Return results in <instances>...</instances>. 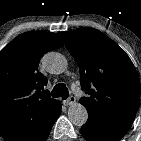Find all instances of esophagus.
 <instances>
[{
  "mask_svg": "<svg viewBox=\"0 0 141 141\" xmlns=\"http://www.w3.org/2000/svg\"><path fill=\"white\" fill-rule=\"evenodd\" d=\"M75 103H76V98L73 96L69 97L68 100L66 101L67 105H73Z\"/></svg>",
  "mask_w": 141,
  "mask_h": 141,
  "instance_id": "1",
  "label": "esophagus"
}]
</instances>
